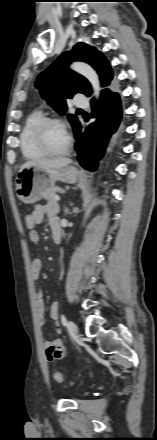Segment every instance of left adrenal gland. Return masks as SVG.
<instances>
[{
  "label": "left adrenal gland",
  "instance_id": "1",
  "mask_svg": "<svg viewBox=\"0 0 157 440\" xmlns=\"http://www.w3.org/2000/svg\"><path fill=\"white\" fill-rule=\"evenodd\" d=\"M68 213H69V209L65 208V214H68Z\"/></svg>",
  "mask_w": 157,
  "mask_h": 440
}]
</instances>
